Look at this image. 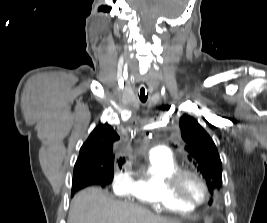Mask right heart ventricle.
I'll return each mask as SVG.
<instances>
[{
  "instance_id": "right-heart-ventricle-1",
  "label": "right heart ventricle",
  "mask_w": 267,
  "mask_h": 223,
  "mask_svg": "<svg viewBox=\"0 0 267 223\" xmlns=\"http://www.w3.org/2000/svg\"><path fill=\"white\" fill-rule=\"evenodd\" d=\"M179 169L180 165L172 156L150 155L148 164L130 178L125 195L137 204L148 205L155 210L188 214L193 207L172 198L166 187L168 177Z\"/></svg>"
}]
</instances>
